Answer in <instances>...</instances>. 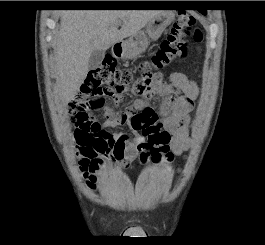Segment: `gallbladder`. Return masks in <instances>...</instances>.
I'll return each mask as SVG.
<instances>
[{"mask_svg":"<svg viewBox=\"0 0 265 245\" xmlns=\"http://www.w3.org/2000/svg\"><path fill=\"white\" fill-rule=\"evenodd\" d=\"M105 52L102 50H94L89 58L88 68L90 70L96 69L102 62Z\"/></svg>","mask_w":265,"mask_h":245,"instance_id":"bac80fb5","label":"gallbladder"}]
</instances>
